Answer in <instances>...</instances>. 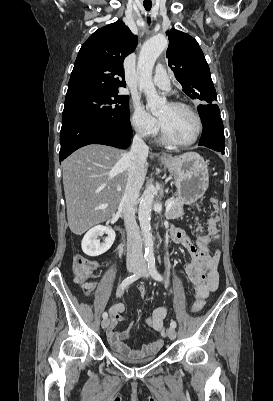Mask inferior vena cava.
Returning a JSON list of instances; mask_svg holds the SVG:
<instances>
[{"label":"inferior vena cava","instance_id":"obj_1","mask_svg":"<svg viewBox=\"0 0 273 401\" xmlns=\"http://www.w3.org/2000/svg\"><path fill=\"white\" fill-rule=\"evenodd\" d=\"M149 146L142 140L141 134H135L130 152L124 154L128 164V178L120 207L127 231V259H143L142 241L139 227L135 219V207L140 188L145 180L146 170L144 164L148 156Z\"/></svg>","mask_w":273,"mask_h":401}]
</instances>
